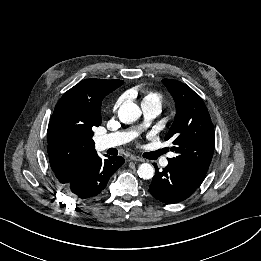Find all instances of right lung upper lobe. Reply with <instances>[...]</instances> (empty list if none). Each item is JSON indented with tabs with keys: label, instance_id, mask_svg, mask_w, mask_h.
<instances>
[{
	"label": "right lung upper lobe",
	"instance_id": "1",
	"mask_svg": "<svg viewBox=\"0 0 261 261\" xmlns=\"http://www.w3.org/2000/svg\"><path fill=\"white\" fill-rule=\"evenodd\" d=\"M123 84L122 80L86 79L66 91L57 103L48 126V155L51 168L62 184L69 182L96 153L95 143L80 132L89 121H101L103 98ZM62 128L75 129L62 135Z\"/></svg>",
	"mask_w": 261,
	"mask_h": 261
}]
</instances>
